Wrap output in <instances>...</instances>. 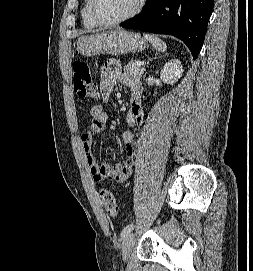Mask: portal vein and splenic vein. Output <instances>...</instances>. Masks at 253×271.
Here are the masks:
<instances>
[{
	"mask_svg": "<svg viewBox=\"0 0 253 271\" xmlns=\"http://www.w3.org/2000/svg\"><path fill=\"white\" fill-rule=\"evenodd\" d=\"M137 65H138V66H141V65H142V62H141V61H137Z\"/></svg>",
	"mask_w": 253,
	"mask_h": 271,
	"instance_id": "obj_1",
	"label": "portal vein and splenic vein"
}]
</instances>
